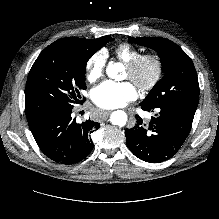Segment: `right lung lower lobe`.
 <instances>
[{
    "mask_svg": "<svg viewBox=\"0 0 219 219\" xmlns=\"http://www.w3.org/2000/svg\"><path fill=\"white\" fill-rule=\"evenodd\" d=\"M72 109L49 112L28 120L41 151L62 164H73L87 157L94 147L90 135L100 127V123L90 119L78 123Z\"/></svg>",
    "mask_w": 219,
    "mask_h": 219,
    "instance_id": "obj_1",
    "label": "right lung lower lobe"
}]
</instances>
